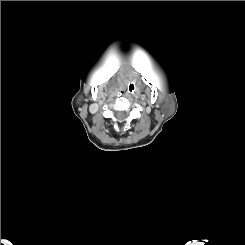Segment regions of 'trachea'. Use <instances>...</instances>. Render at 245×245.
I'll return each instance as SVG.
<instances>
[{"instance_id": "3493384b", "label": "trachea", "mask_w": 245, "mask_h": 245, "mask_svg": "<svg viewBox=\"0 0 245 245\" xmlns=\"http://www.w3.org/2000/svg\"><path fill=\"white\" fill-rule=\"evenodd\" d=\"M127 90L130 94H133L135 91H136V84L134 81H130L128 84H127Z\"/></svg>"}]
</instances>
